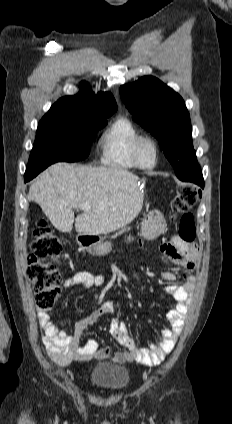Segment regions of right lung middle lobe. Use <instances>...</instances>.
Segmentation results:
<instances>
[{
  "instance_id": "1",
  "label": "right lung middle lobe",
  "mask_w": 232,
  "mask_h": 424,
  "mask_svg": "<svg viewBox=\"0 0 232 424\" xmlns=\"http://www.w3.org/2000/svg\"><path fill=\"white\" fill-rule=\"evenodd\" d=\"M107 124L66 112H48L40 120L25 174L40 172L58 161L74 162L88 157L93 137Z\"/></svg>"
}]
</instances>
